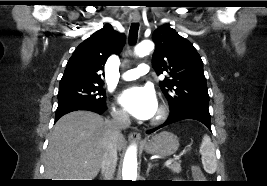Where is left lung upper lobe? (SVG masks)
I'll list each match as a JSON object with an SVG mask.
<instances>
[{"instance_id":"left-lung-upper-lobe-1","label":"left lung upper lobe","mask_w":267,"mask_h":186,"mask_svg":"<svg viewBox=\"0 0 267 186\" xmlns=\"http://www.w3.org/2000/svg\"><path fill=\"white\" fill-rule=\"evenodd\" d=\"M152 39L156 46L152 66L159 75L163 71L170 75V78L159 82L169 102L170 112L186 107L208 109L203 62L194 46L168 25L156 29Z\"/></svg>"}]
</instances>
